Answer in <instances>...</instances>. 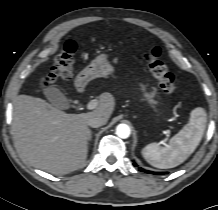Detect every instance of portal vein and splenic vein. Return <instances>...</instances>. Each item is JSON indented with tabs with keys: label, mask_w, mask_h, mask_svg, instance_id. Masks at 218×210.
Masks as SVG:
<instances>
[{
	"label": "portal vein and splenic vein",
	"mask_w": 218,
	"mask_h": 210,
	"mask_svg": "<svg viewBox=\"0 0 218 210\" xmlns=\"http://www.w3.org/2000/svg\"><path fill=\"white\" fill-rule=\"evenodd\" d=\"M98 103H99V102H98L97 99L91 100V101L87 104V109H88V110H93V109H95V108L98 106ZM168 137H169V135H167V138L162 141L163 144H165V142L167 141Z\"/></svg>",
	"instance_id": "obj_1"
}]
</instances>
